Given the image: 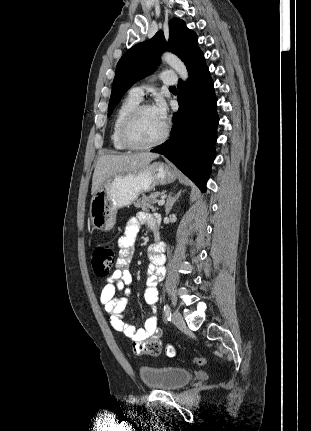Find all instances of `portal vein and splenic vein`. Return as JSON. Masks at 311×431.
<instances>
[{
  "label": "portal vein and splenic vein",
  "mask_w": 311,
  "mask_h": 431,
  "mask_svg": "<svg viewBox=\"0 0 311 431\" xmlns=\"http://www.w3.org/2000/svg\"><path fill=\"white\" fill-rule=\"evenodd\" d=\"M158 206H164L165 204V200H159V202H157Z\"/></svg>",
  "instance_id": "portal-vein-and-splenic-vein-1"
}]
</instances>
